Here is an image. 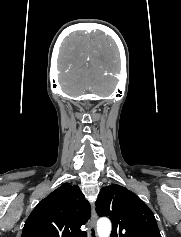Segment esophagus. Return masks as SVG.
<instances>
[{"label": "esophagus", "mask_w": 181, "mask_h": 237, "mask_svg": "<svg viewBox=\"0 0 181 237\" xmlns=\"http://www.w3.org/2000/svg\"><path fill=\"white\" fill-rule=\"evenodd\" d=\"M96 221H97V214L95 209H92L91 218L89 220V235L90 237H97L96 231Z\"/></svg>", "instance_id": "obj_1"}]
</instances>
